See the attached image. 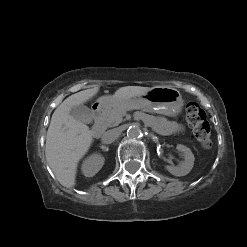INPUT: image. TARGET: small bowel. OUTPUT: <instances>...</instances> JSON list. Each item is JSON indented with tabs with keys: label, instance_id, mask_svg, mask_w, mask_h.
<instances>
[{
	"label": "small bowel",
	"instance_id": "small-bowel-1",
	"mask_svg": "<svg viewBox=\"0 0 247 247\" xmlns=\"http://www.w3.org/2000/svg\"><path fill=\"white\" fill-rule=\"evenodd\" d=\"M147 120L153 124L158 132L161 134H169L177 129L179 126L171 121L163 118H147Z\"/></svg>",
	"mask_w": 247,
	"mask_h": 247
}]
</instances>
